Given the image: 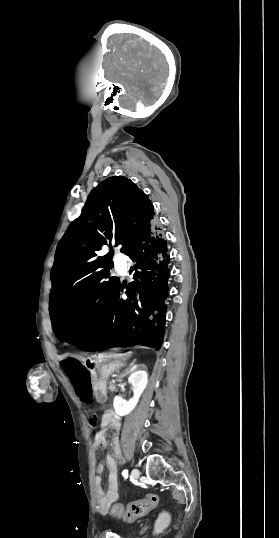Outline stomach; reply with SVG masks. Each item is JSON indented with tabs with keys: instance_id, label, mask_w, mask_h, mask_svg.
<instances>
[{
	"instance_id": "stomach-1",
	"label": "stomach",
	"mask_w": 279,
	"mask_h": 538,
	"mask_svg": "<svg viewBox=\"0 0 279 538\" xmlns=\"http://www.w3.org/2000/svg\"><path fill=\"white\" fill-rule=\"evenodd\" d=\"M96 362L97 364H102V373L99 375V378L94 380L93 385L95 387V393H97V399L103 401L107 397L104 391L106 389L104 384L110 382V374H117L118 368L128 362V355L126 353H97Z\"/></svg>"
}]
</instances>
